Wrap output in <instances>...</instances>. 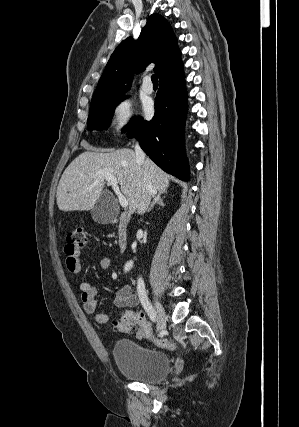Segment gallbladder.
Masks as SVG:
<instances>
[{"instance_id":"1","label":"gallbladder","mask_w":299,"mask_h":427,"mask_svg":"<svg viewBox=\"0 0 299 427\" xmlns=\"http://www.w3.org/2000/svg\"><path fill=\"white\" fill-rule=\"evenodd\" d=\"M118 215L119 208L115 197L111 192L104 191L91 210L93 220L99 224H109L115 221Z\"/></svg>"}]
</instances>
